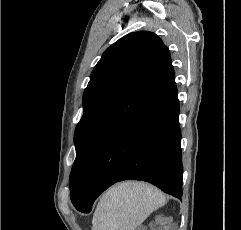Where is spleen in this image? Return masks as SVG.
I'll return each mask as SVG.
<instances>
[{"instance_id": "obj_1", "label": "spleen", "mask_w": 241, "mask_h": 230, "mask_svg": "<svg viewBox=\"0 0 241 230\" xmlns=\"http://www.w3.org/2000/svg\"><path fill=\"white\" fill-rule=\"evenodd\" d=\"M165 201L163 193L149 184L129 181L117 184L100 198L92 230H135Z\"/></svg>"}]
</instances>
